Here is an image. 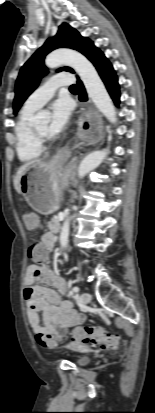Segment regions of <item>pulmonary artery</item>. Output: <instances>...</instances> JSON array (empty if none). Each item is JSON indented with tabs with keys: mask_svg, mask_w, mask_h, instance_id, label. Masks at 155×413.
Here are the masks:
<instances>
[{
	"mask_svg": "<svg viewBox=\"0 0 155 413\" xmlns=\"http://www.w3.org/2000/svg\"><path fill=\"white\" fill-rule=\"evenodd\" d=\"M74 77L70 73H60L48 78L44 84L34 91L27 99L25 106L32 109H39L50 100L57 88L60 86L71 85Z\"/></svg>",
	"mask_w": 155,
	"mask_h": 413,
	"instance_id": "e3ab8cb5",
	"label": "pulmonary artery"
}]
</instances>
